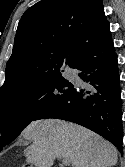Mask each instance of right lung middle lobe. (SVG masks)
<instances>
[{
  "label": "right lung middle lobe",
  "mask_w": 125,
  "mask_h": 167,
  "mask_svg": "<svg viewBox=\"0 0 125 167\" xmlns=\"http://www.w3.org/2000/svg\"><path fill=\"white\" fill-rule=\"evenodd\" d=\"M72 87L60 73L25 91L0 99V146L11 143L41 110L64 98Z\"/></svg>",
  "instance_id": "1"
}]
</instances>
